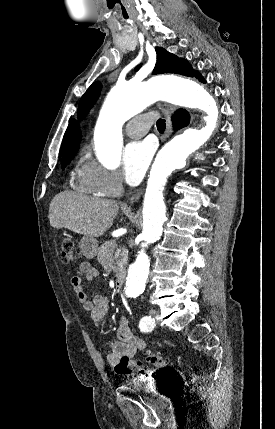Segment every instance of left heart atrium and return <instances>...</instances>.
Masks as SVG:
<instances>
[{
    "mask_svg": "<svg viewBox=\"0 0 275 429\" xmlns=\"http://www.w3.org/2000/svg\"><path fill=\"white\" fill-rule=\"evenodd\" d=\"M155 146L150 140L132 142L123 153V174L130 185H137L143 179L149 166Z\"/></svg>",
    "mask_w": 275,
    "mask_h": 429,
    "instance_id": "left-heart-atrium-1",
    "label": "left heart atrium"
}]
</instances>
